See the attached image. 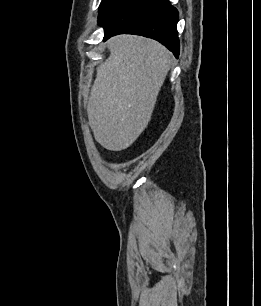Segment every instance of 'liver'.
Masks as SVG:
<instances>
[{
    "label": "liver",
    "mask_w": 261,
    "mask_h": 306,
    "mask_svg": "<svg viewBox=\"0 0 261 306\" xmlns=\"http://www.w3.org/2000/svg\"><path fill=\"white\" fill-rule=\"evenodd\" d=\"M97 68L87 104L95 140L110 151L128 148L147 127L172 54L157 41L119 35Z\"/></svg>",
    "instance_id": "liver-1"
}]
</instances>
